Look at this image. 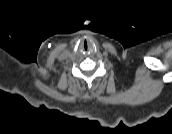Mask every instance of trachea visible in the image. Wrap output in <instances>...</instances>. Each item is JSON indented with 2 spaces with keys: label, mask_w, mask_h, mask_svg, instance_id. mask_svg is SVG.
<instances>
[{
  "label": "trachea",
  "mask_w": 172,
  "mask_h": 134,
  "mask_svg": "<svg viewBox=\"0 0 172 134\" xmlns=\"http://www.w3.org/2000/svg\"><path fill=\"white\" fill-rule=\"evenodd\" d=\"M84 44H85V45H87V42H86V40H85Z\"/></svg>",
  "instance_id": "3493384b"
}]
</instances>
